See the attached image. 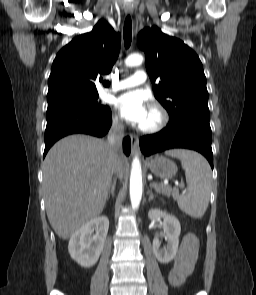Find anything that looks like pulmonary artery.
<instances>
[{"label":"pulmonary artery","instance_id":"pulmonary-artery-1","mask_svg":"<svg viewBox=\"0 0 256 295\" xmlns=\"http://www.w3.org/2000/svg\"><path fill=\"white\" fill-rule=\"evenodd\" d=\"M147 80V75L144 70L138 69L131 76L121 79L118 83L111 89L112 91H119L128 88H132L141 84H144Z\"/></svg>","mask_w":256,"mask_h":295}]
</instances>
